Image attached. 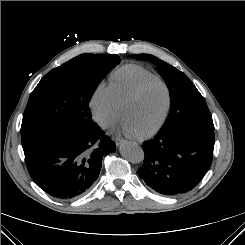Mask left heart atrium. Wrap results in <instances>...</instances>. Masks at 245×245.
<instances>
[{
  "instance_id": "1",
  "label": "left heart atrium",
  "mask_w": 245,
  "mask_h": 245,
  "mask_svg": "<svg viewBox=\"0 0 245 245\" xmlns=\"http://www.w3.org/2000/svg\"><path fill=\"white\" fill-rule=\"evenodd\" d=\"M120 127L123 131L130 136H137V133L127 124L126 120L122 117Z\"/></svg>"
}]
</instances>
